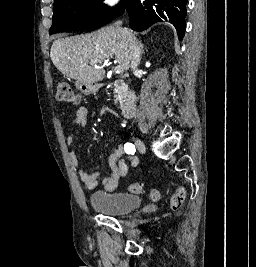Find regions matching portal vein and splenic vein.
I'll return each instance as SVG.
<instances>
[{
  "mask_svg": "<svg viewBox=\"0 0 256 267\" xmlns=\"http://www.w3.org/2000/svg\"><path fill=\"white\" fill-rule=\"evenodd\" d=\"M96 62V60H95ZM95 62H91V64H95ZM108 62L109 60H106L104 66H108ZM124 68H121V66H116L115 68V74H121V72H123Z\"/></svg>",
  "mask_w": 256,
  "mask_h": 267,
  "instance_id": "18ae733b",
  "label": "portal vein and splenic vein"
}]
</instances>
